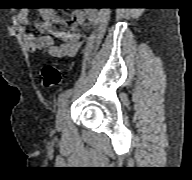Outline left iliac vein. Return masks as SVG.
I'll list each match as a JSON object with an SVG mask.
<instances>
[{"label": "left iliac vein", "instance_id": "obj_1", "mask_svg": "<svg viewBox=\"0 0 192 180\" xmlns=\"http://www.w3.org/2000/svg\"><path fill=\"white\" fill-rule=\"evenodd\" d=\"M68 105L65 101L59 108L57 115H56V127L57 129H62L66 123V117H67V111H68Z\"/></svg>", "mask_w": 192, "mask_h": 180}]
</instances>
